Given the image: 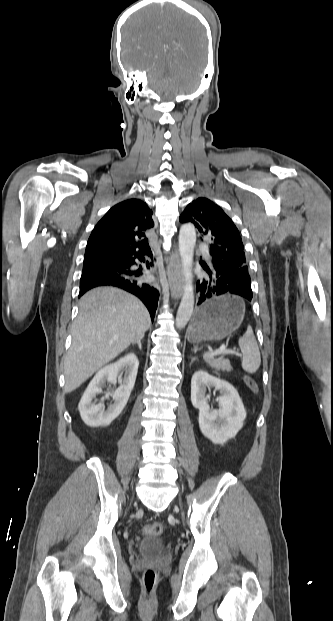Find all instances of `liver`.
<instances>
[{
  "mask_svg": "<svg viewBox=\"0 0 333 621\" xmlns=\"http://www.w3.org/2000/svg\"><path fill=\"white\" fill-rule=\"evenodd\" d=\"M150 315L136 297L113 287L84 294L64 357L65 392H72L149 329Z\"/></svg>",
  "mask_w": 333,
  "mask_h": 621,
  "instance_id": "obj_1",
  "label": "liver"
}]
</instances>
